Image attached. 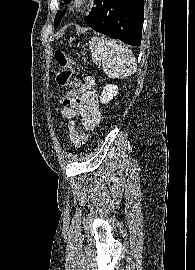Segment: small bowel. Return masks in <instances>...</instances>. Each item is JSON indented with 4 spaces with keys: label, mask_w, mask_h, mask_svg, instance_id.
Returning a JSON list of instances; mask_svg holds the SVG:
<instances>
[{
    "label": "small bowel",
    "mask_w": 195,
    "mask_h": 270,
    "mask_svg": "<svg viewBox=\"0 0 195 270\" xmlns=\"http://www.w3.org/2000/svg\"><path fill=\"white\" fill-rule=\"evenodd\" d=\"M62 116L68 119L80 118L87 129H93L101 121V112L95 81L87 76L81 83V93L78 99L70 106H62ZM76 122L69 123L70 140L73 146H79L75 139Z\"/></svg>",
    "instance_id": "c3829d8e"
}]
</instances>
